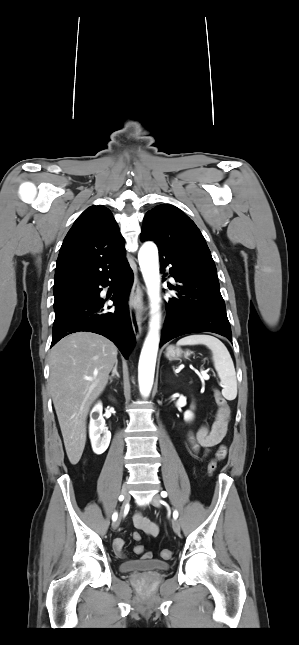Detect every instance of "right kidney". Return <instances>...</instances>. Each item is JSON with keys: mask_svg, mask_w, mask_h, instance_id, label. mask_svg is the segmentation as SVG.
Listing matches in <instances>:
<instances>
[{"mask_svg": "<svg viewBox=\"0 0 299 645\" xmlns=\"http://www.w3.org/2000/svg\"><path fill=\"white\" fill-rule=\"evenodd\" d=\"M103 406L98 402L91 411L89 437L93 452L102 454L106 451L111 440V433L105 427V420L102 416Z\"/></svg>", "mask_w": 299, "mask_h": 645, "instance_id": "ca27d5eb", "label": "right kidney"}]
</instances>
